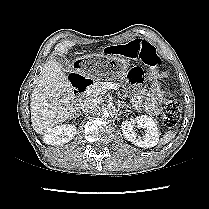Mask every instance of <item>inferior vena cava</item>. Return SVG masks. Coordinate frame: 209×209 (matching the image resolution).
Wrapping results in <instances>:
<instances>
[{"instance_id":"602c4592","label":"inferior vena cava","mask_w":209,"mask_h":209,"mask_svg":"<svg viewBox=\"0 0 209 209\" xmlns=\"http://www.w3.org/2000/svg\"><path fill=\"white\" fill-rule=\"evenodd\" d=\"M99 102L91 97L84 99L80 104V109L84 112H92L97 109Z\"/></svg>"}]
</instances>
